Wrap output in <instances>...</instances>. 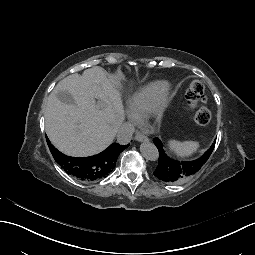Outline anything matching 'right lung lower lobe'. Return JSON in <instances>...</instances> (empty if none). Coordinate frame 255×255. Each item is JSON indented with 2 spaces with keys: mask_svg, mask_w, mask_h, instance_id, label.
<instances>
[{
  "mask_svg": "<svg viewBox=\"0 0 255 255\" xmlns=\"http://www.w3.org/2000/svg\"><path fill=\"white\" fill-rule=\"evenodd\" d=\"M83 169V178L90 181L94 178V171L99 169V164L96 161H92L90 156H87L83 162Z\"/></svg>",
  "mask_w": 255,
  "mask_h": 255,
  "instance_id": "98d812e1",
  "label": "right lung lower lobe"
}]
</instances>
